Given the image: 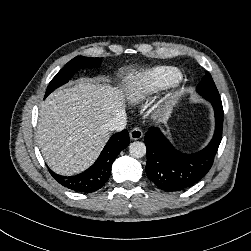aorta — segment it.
Instances as JSON below:
<instances>
[{
	"label": "aorta",
	"instance_id": "aorta-1",
	"mask_svg": "<svg viewBox=\"0 0 251 251\" xmlns=\"http://www.w3.org/2000/svg\"><path fill=\"white\" fill-rule=\"evenodd\" d=\"M129 153L134 158H141L146 154V146L140 141L133 142L129 145Z\"/></svg>",
	"mask_w": 251,
	"mask_h": 251
}]
</instances>
